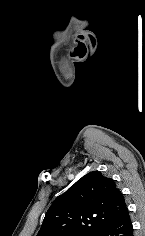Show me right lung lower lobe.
Listing matches in <instances>:
<instances>
[{
  "label": "right lung lower lobe",
  "mask_w": 145,
  "mask_h": 236,
  "mask_svg": "<svg viewBox=\"0 0 145 236\" xmlns=\"http://www.w3.org/2000/svg\"><path fill=\"white\" fill-rule=\"evenodd\" d=\"M95 236H133V226L128 209H125Z\"/></svg>",
  "instance_id": "1"
}]
</instances>
